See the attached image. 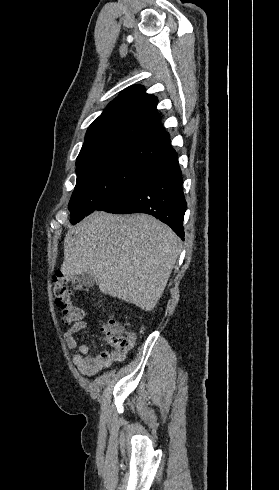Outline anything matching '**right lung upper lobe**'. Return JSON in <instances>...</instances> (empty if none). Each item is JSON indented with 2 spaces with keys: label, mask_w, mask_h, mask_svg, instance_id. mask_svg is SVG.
I'll use <instances>...</instances> for the list:
<instances>
[{
  "label": "right lung upper lobe",
  "mask_w": 279,
  "mask_h": 490,
  "mask_svg": "<svg viewBox=\"0 0 279 490\" xmlns=\"http://www.w3.org/2000/svg\"><path fill=\"white\" fill-rule=\"evenodd\" d=\"M157 103L140 85L121 93L88 128L77 168L113 159L157 163L172 153Z\"/></svg>",
  "instance_id": "obj_1"
}]
</instances>
